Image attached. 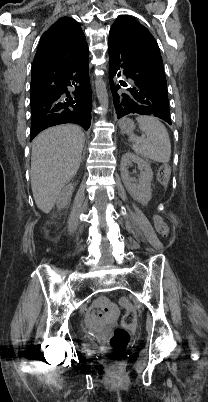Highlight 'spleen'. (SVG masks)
<instances>
[{
	"instance_id": "obj_1",
	"label": "spleen",
	"mask_w": 208,
	"mask_h": 402,
	"mask_svg": "<svg viewBox=\"0 0 208 402\" xmlns=\"http://www.w3.org/2000/svg\"><path fill=\"white\" fill-rule=\"evenodd\" d=\"M136 120L146 138L130 136V142H134L132 150L146 160L167 164L171 156V144L165 126L153 116H139Z\"/></svg>"
}]
</instances>
